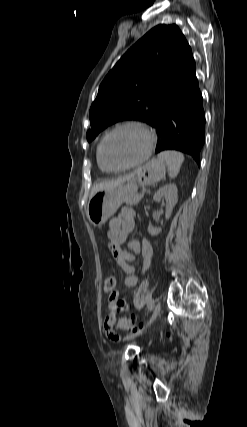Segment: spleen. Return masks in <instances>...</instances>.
Returning a JSON list of instances; mask_svg holds the SVG:
<instances>
[{"instance_id":"obj_1","label":"spleen","mask_w":247,"mask_h":427,"mask_svg":"<svg viewBox=\"0 0 247 427\" xmlns=\"http://www.w3.org/2000/svg\"><path fill=\"white\" fill-rule=\"evenodd\" d=\"M157 159L164 161L168 166V173L170 178H175L184 161V155L181 152L174 150L163 151L158 154Z\"/></svg>"}]
</instances>
